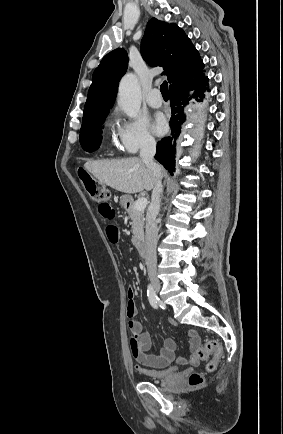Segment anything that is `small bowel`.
<instances>
[{"label":"small bowel","mask_w":283,"mask_h":434,"mask_svg":"<svg viewBox=\"0 0 283 434\" xmlns=\"http://www.w3.org/2000/svg\"><path fill=\"white\" fill-rule=\"evenodd\" d=\"M98 211L101 217L106 220H113L116 216V210L110 202L102 203L98 206ZM106 235L111 243H117L119 240V230L114 225H109L106 229ZM127 316L128 326L130 330V347L135 360L139 363L137 366L138 371L145 367L163 368L176 361L178 364L197 365L199 358L196 351L200 345V337L195 330L187 331V338L189 340V347L191 353L188 358L177 357L175 355L176 343L173 339H166L157 354L149 353L151 348V337L148 332L144 331L141 323L136 319L137 308L134 301V291L132 288L127 292ZM172 326H177L176 322L170 320Z\"/></svg>","instance_id":"c3829d8e"}]
</instances>
